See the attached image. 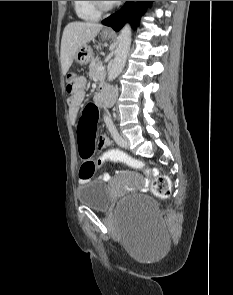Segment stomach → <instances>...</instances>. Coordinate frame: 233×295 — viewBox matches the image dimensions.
Here are the masks:
<instances>
[{
  "instance_id": "stomach-1",
  "label": "stomach",
  "mask_w": 233,
  "mask_h": 295,
  "mask_svg": "<svg viewBox=\"0 0 233 295\" xmlns=\"http://www.w3.org/2000/svg\"><path fill=\"white\" fill-rule=\"evenodd\" d=\"M103 39L112 38L113 34L103 31L101 33ZM75 61L80 65H85L92 60V49L87 44L82 45L75 54Z\"/></svg>"
}]
</instances>
